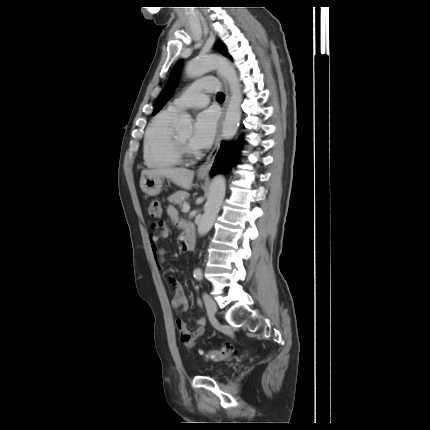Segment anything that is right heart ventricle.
Listing matches in <instances>:
<instances>
[{
  "instance_id": "e07e8e85",
  "label": "right heart ventricle",
  "mask_w": 430,
  "mask_h": 430,
  "mask_svg": "<svg viewBox=\"0 0 430 430\" xmlns=\"http://www.w3.org/2000/svg\"><path fill=\"white\" fill-rule=\"evenodd\" d=\"M178 112L158 113L146 128L143 140L144 164L149 168H169L180 164L173 142L174 122Z\"/></svg>"
}]
</instances>
